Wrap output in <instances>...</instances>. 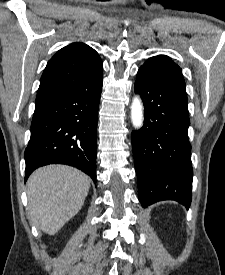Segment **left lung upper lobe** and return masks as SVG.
<instances>
[{
  "label": "left lung upper lobe",
  "instance_id": "5c2ea615",
  "mask_svg": "<svg viewBox=\"0 0 225 275\" xmlns=\"http://www.w3.org/2000/svg\"><path fill=\"white\" fill-rule=\"evenodd\" d=\"M143 72L186 94V84L181 68L166 55L149 58L142 68Z\"/></svg>",
  "mask_w": 225,
  "mask_h": 275
}]
</instances>
